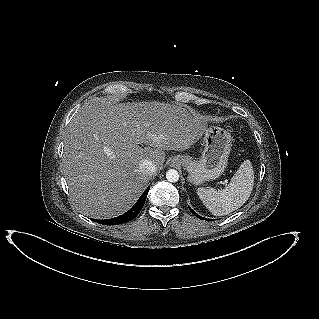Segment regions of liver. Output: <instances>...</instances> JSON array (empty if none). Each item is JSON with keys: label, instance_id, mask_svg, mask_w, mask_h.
Listing matches in <instances>:
<instances>
[{"label": "liver", "instance_id": "1", "mask_svg": "<svg viewBox=\"0 0 319 319\" xmlns=\"http://www.w3.org/2000/svg\"><path fill=\"white\" fill-rule=\"evenodd\" d=\"M206 127L204 116L182 105L88 102L64 137L61 166L72 204L94 219L125 213L150 180L139 169L141 161L161 170L165 151L190 148Z\"/></svg>", "mask_w": 319, "mask_h": 319}]
</instances>
